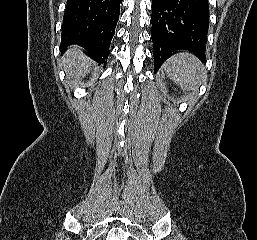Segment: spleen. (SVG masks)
Masks as SVG:
<instances>
[{"mask_svg": "<svg viewBox=\"0 0 257 240\" xmlns=\"http://www.w3.org/2000/svg\"><path fill=\"white\" fill-rule=\"evenodd\" d=\"M164 69L168 77L185 91H197L207 78L199 60L188 52L173 55Z\"/></svg>", "mask_w": 257, "mask_h": 240, "instance_id": "3e777b00", "label": "spleen"}]
</instances>
